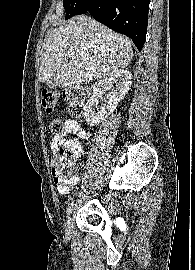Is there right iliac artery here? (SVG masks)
<instances>
[{"instance_id": "1", "label": "right iliac artery", "mask_w": 195, "mask_h": 270, "mask_svg": "<svg viewBox=\"0 0 195 270\" xmlns=\"http://www.w3.org/2000/svg\"><path fill=\"white\" fill-rule=\"evenodd\" d=\"M73 206H74V202H71V204L69 205V207L67 208V217L70 215L72 209H73Z\"/></svg>"}]
</instances>
